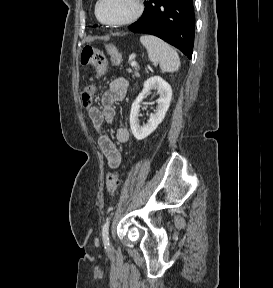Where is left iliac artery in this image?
Masks as SVG:
<instances>
[{
	"label": "left iliac artery",
	"mask_w": 273,
	"mask_h": 288,
	"mask_svg": "<svg viewBox=\"0 0 273 288\" xmlns=\"http://www.w3.org/2000/svg\"><path fill=\"white\" fill-rule=\"evenodd\" d=\"M109 224L110 219H107L102 227V238L105 246H109Z\"/></svg>",
	"instance_id": "44dca946"
}]
</instances>
